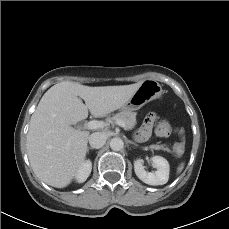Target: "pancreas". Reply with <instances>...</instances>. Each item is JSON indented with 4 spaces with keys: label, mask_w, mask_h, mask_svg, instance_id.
<instances>
[{
    "label": "pancreas",
    "mask_w": 229,
    "mask_h": 229,
    "mask_svg": "<svg viewBox=\"0 0 229 229\" xmlns=\"http://www.w3.org/2000/svg\"><path fill=\"white\" fill-rule=\"evenodd\" d=\"M109 122L123 121L125 123V129L130 130L136 125V113L131 111H121L120 113L115 114L113 117L108 118ZM151 149L155 150H164L170 152V149L164 147L163 145H151Z\"/></svg>",
    "instance_id": "obj_1"
}]
</instances>
